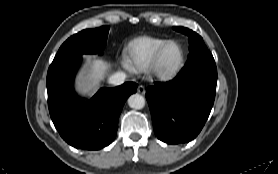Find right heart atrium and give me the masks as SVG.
Listing matches in <instances>:
<instances>
[{"mask_svg":"<svg viewBox=\"0 0 278 174\" xmlns=\"http://www.w3.org/2000/svg\"><path fill=\"white\" fill-rule=\"evenodd\" d=\"M123 64H124V66H125L126 68H130V64H129V62H128L127 60H124V61H123Z\"/></svg>","mask_w":278,"mask_h":174,"instance_id":"obj_1","label":"right heart atrium"}]
</instances>
